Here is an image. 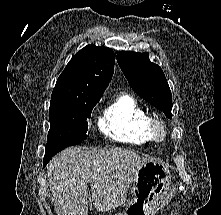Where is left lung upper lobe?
Masks as SVG:
<instances>
[{"label": "left lung upper lobe", "instance_id": "5c2ea615", "mask_svg": "<svg viewBox=\"0 0 221 215\" xmlns=\"http://www.w3.org/2000/svg\"><path fill=\"white\" fill-rule=\"evenodd\" d=\"M117 61L132 89L171 119L169 85L162 69L149 61L148 53L121 51L117 54Z\"/></svg>", "mask_w": 221, "mask_h": 215}]
</instances>
